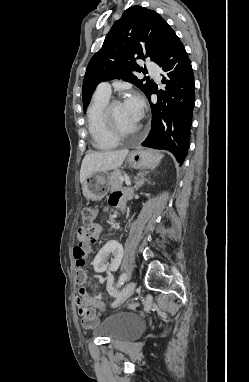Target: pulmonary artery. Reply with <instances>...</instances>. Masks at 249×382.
Here are the masks:
<instances>
[{"mask_svg": "<svg viewBox=\"0 0 249 382\" xmlns=\"http://www.w3.org/2000/svg\"><path fill=\"white\" fill-rule=\"evenodd\" d=\"M146 67L154 75V77L157 80H159L160 74H159L158 67L155 64L150 63V62L146 63ZM97 91L100 92V93H104V94L110 95L111 94V86H110L109 83L103 82V83L99 84V86L97 88Z\"/></svg>", "mask_w": 249, "mask_h": 382, "instance_id": "1", "label": "pulmonary artery"}]
</instances>
